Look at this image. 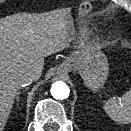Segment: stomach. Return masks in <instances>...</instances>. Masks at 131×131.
<instances>
[{
	"label": "stomach",
	"mask_w": 131,
	"mask_h": 131,
	"mask_svg": "<svg viewBox=\"0 0 131 131\" xmlns=\"http://www.w3.org/2000/svg\"><path fill=\"white\" fill-rule=\"evenodd\" d=\"M68 67L71 70H77L85 85L92 91L99 90L108 77V61L99 48L84 53L79 60L73 64L69 63Z\"/></svg>",
	"instance_id": "obj_1"
}]
</instances>
